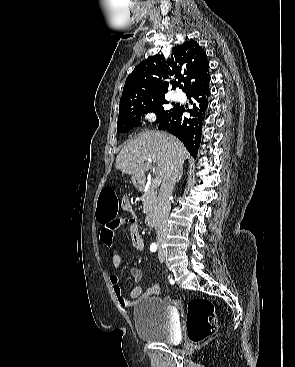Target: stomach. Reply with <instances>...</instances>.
Instances as JSON below:
<instances>
[{
	"instance_id": "1",
	"label": "stomach",
	"mask_w": 295,
	"mask_h": 367,
	"mask_svg": "<svg viewBox=\"0 0 295 367\" xmlns=\"http://www.w3.org/2000/svg\"><path fill=\"white\" fill-rule=\"evenodd\" d=\"M132 182H133L135 187H138V188L142 187V184H143L142 177L133 176L132 177Z\"/></svg>"
}]
</instances>
